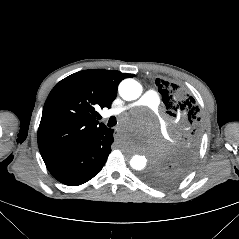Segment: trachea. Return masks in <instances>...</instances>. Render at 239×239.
I'll return each mask as SVG.
<instances>
[{"label":"trachea","mask_w":239,"mask_h":239,"mask_svg":"<svg viewBox=\"0 0 239 239\" xmlns=\"http://www.w3.org/2000/svg\"><path fill=\"white\" fill-rule=\"evenodd\" d=\"M116 123H117L116 118H115L114 116H112V117H110V119L108 120L107 125H108V127H113V126L116 125Z\"/></svg>","instance_id":"obj_1"}]
</instances>
